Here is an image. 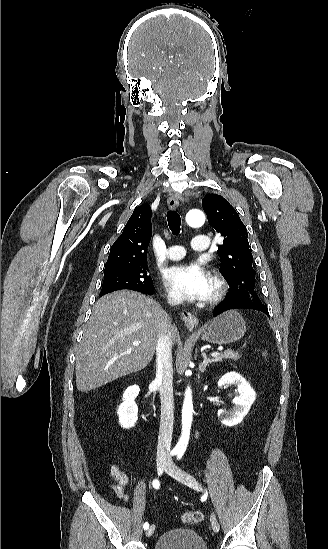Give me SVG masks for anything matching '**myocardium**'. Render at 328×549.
<instances>
[{
    "label": "myocardium",
    "instance_id": "1",
    "mask_svg": "<svg viewBox=\"0 0 328 549\" xmlns=\"http://www.w3.org/2000/svg\"><path fill=\"white\" fill-rule=\"evenodd\" d=\"M208 266L210 268H217L213 264H209ZM212 281H213V291L206 299L207 303L209 304H215L219 302L223 298L227 290L226 281L221 276L215 275Z\"/></svg>",
    "mask_w": 328,
    "mask_h": 549
}]
</instances>
